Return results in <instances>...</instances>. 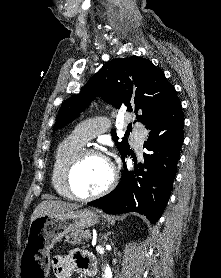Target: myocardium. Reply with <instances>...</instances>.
Wrapping results in <instances>:
<instances>
[{
  "label": "myocardium",
  "mask_w": 221,
  "mask_h": 278,
  "mask_svg": "<svg viewBox=\"0 0 221 278\" xmlns=\"http://www.w3.org/2000/svg\"><path fill=\"white\" fill-rule=\"evenodd\" d=\"M90 155H97V156L103 157L107 161L109 168H110V179H109L108 183L106 184V186L104 188H102L101 190H99L95 193L82 195L75 189V187L73 185V176H74L75 170H76L77 166L79 165V163L84 158H86ZM117 182H118V171H117L116 165L108 157H106L102 152H100L99 150H96L94 148L86 147V148H82L78 152H76L73 155V157L69 160V162L65 168V172H64V183H65L66 190L72 199H75L78 201H89V200L98 198L100 196H103L106 193H108L109 191H111L116 186Z\"/></svg>",
  "instance_id": "myocardium-1"
}]
</instances>
